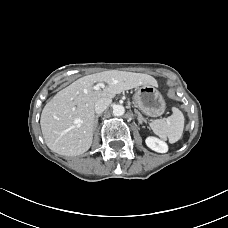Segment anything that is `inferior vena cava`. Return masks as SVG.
I'll return each instance as SVG.
<instances>
[{
    "instance_id": "1",
    "label": "inferior vena cava",
    "mask_w": 228,
    "mask_h": 228,
    "mask_svg": "<svg viewBox=\"0 0 228 228\" xmlns=\"http://www.w3.org/2000/svg\"><path fill=\"white\" fill-rule=\"evenodd\" d=\"M111 100L110 99H100L95 104V112L100 114L103 111L107 109V107L110 105Z\"/></svg>"
}]
</instances>
